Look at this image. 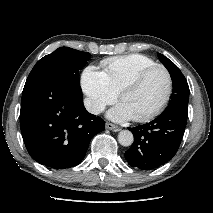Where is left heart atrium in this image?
Instances as JSON below:
<instances>
[{
    "label": "left heart atrium",
    "mask_w": 213,
    "mask_h": 213,
    "mask_svg": "<svg viewBox=\"0 0 213 213\" xmlns=\"http://www.w3.org/2000/svg\"><path fill=\"white\" fill-rule=\"evenodd\" d=\"M107 116L108 118L117 122H122L133 118L130 111L123 103H119L114 108H112L108 112Z\"/></svg>",
    "instance_id": "1"
}]
</instances>
